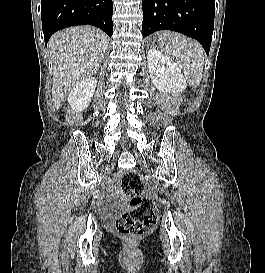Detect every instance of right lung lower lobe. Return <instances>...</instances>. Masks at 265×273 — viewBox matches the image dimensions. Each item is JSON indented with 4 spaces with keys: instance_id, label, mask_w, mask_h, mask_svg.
<instances>
[{
    "instance_id": "right-lung-lower-lobe-1",
    "label": "right lung lower lobe",
    "mask_w": 265,
    "mask_h": 273,
    "mask_svg": "<svg viewBox=\"0 0 265 273\" xmlns=\"http://www.w3.org/2000/svg\"><path fill=\"white\" fill-rule=\"evenodd\" d=\"M42 30L47 44L56 31L75 25H93L113 34L112 0H41Z\"/></svg>"
}]
</instances>
